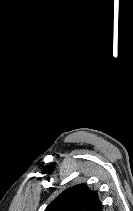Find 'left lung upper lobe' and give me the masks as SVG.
<instances>
[{"instance_id": "5c2ea615", "label": "left lung upper lobe", "mask_w": 133, "mask_h": 211, "mask_svg": "<svg viewBox=\"0 0 133 211\" xmlns=\"http://www.w3.org/2000/svg\"><path fill=\"white\" fill-rule=\"evenodd\" d=\"M101 204L96 191L79 184L66 189L45 211H99Z\"/></svg>"}]
</instances>
